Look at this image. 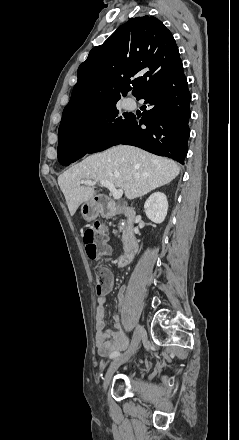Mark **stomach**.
I'll list each match as a JSON object with an SVG mask.
<instances>
[{
  "label": "stomach",
  "mask_w": 239,
  "mask_h": 440,
  "mask_svg": "<svg viewBox=\"0 0 239 440\" xmlns=\"http://www.w3.org/2000/svg\"><path fill=\"white\" fill-rule=\"evenodd\" d=\"M101 210L100 202H97L96 198H91V200L82 204L81 216L86 222H92V220L98 218L99 214H101Z\"/></svg>",
  "instance_id": "1"
}]
</instances>
